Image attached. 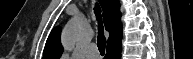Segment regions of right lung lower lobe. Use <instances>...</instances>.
Wrapping results in <instances>:
<instances>
[{
	"label": "right lung lower lobe",
	"instance_id": "1",
	"mask_svg": "<svg viewBox=\"0 0 193 59\" xmlns=\"http://www.w3.org/2000/svg\"><path fill=\"white\" fill-rule=\"evenodd\" d=\"M121 58V39L107 45V54L105 59H120Z\"/></svg>",
	"mask_w": 193,
	"mask_h": 59
}]
</instances>
